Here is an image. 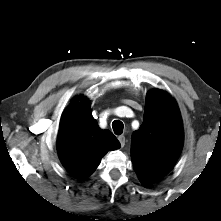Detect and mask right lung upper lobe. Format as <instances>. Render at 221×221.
<instances>
[{"label":"right lung upper lobe","mask_w":221,"mask_h":221,"mask_svg":"<svg viewBox=\"0 0 221 221\" xmlns=\"http://www.w3.org/2000/svg\"><path fill=\"white\" fill-rule=\"evenodd\" d=\"M120 146L111 131L99 128L88 99L80 96L67 108L60 124L57 149L61 163L73 176L88 177L103 155Z\"/></svg>","instance_id":"cb5924a9"}]
</instances>
